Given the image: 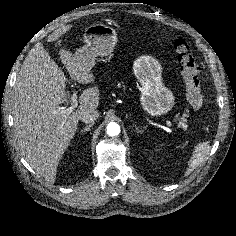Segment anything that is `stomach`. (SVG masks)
Returning a JSON list of instances; mask_svg holds the SVG:
<instances>
[{"label":"stomach","instance_id":"1","mask_svg":"<svg viewBox=\"0 0 236 236\" xmlns=\"http://www.w3.org/2000/svg\"><path fill=\"white\" fill-rule=\"evenodd\" d=\"M85 45L74 53V58L92 68L96 57L113 52L117 34L105 24H93L85 29ZM133 73L140 84V102L143 110L152 117L169 112L175 104L173 92L162 81V67L157 59L142 55L133 63Z\"/></svg>","mask_w":236,"mask_h":236}]
</instances>
